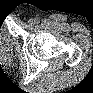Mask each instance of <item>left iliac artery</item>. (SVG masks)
Returning <instances> with one entry per match:
<instances>
[{"label": "left iliac artery", "instance_id": "44dca946", "mask_svg": "<svg viewBox=\"0 0 93 93\" xmlns=\"http://www.w3.org/2000/svg\"><path fill=\"white\" fill-rule=\"evenodd\" d=\"M34 22H35L36 24H38V23H40V19L35 18V19H34Z\"/></svg>", "mask_w": 93, "mask_h": 93}]
</instances>
